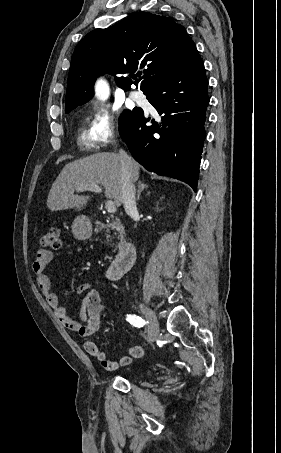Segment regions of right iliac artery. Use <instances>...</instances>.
<instances>
[{"label":"right iliac artery","mask_w":281,"mask_h":453,"mask_svg":"<svg viewBox=\"0 0 281 453\" xmlns=\"http://www.w3.org/2000/svg\"><path fill=\"white\" fill-rule=\"evenodd\" d=\"M126 320L133 326L139 327V328L143 327V325L145 324L144 320L141 317L136 316V315H127Z\"/></svg>","instance_id":"82829eb1"}]
</instances>
